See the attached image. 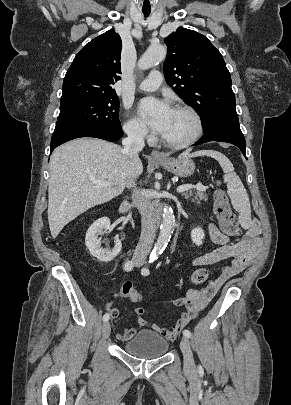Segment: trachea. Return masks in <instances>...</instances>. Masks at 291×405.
<instances>
[{
    "instance_id": "1",
    "label": "trachea",
    "mask_w": 291,
    "mask_h": 405,
    "mask_svg": "<svg viewBox=\"0 0 291 405\" xmlns=\"http://www.w3.org/2000/svg\"><path fill=\"white\" fill-rule=\"evenodd\" d=\"M143 14H144L145 17H148L149 14H150V11H143Z\"/></svg>"
}]
</instances>
